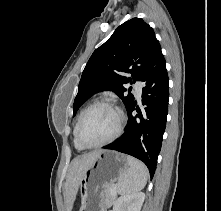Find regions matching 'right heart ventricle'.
I'll return each mask as SVG.
<instances>
[{
	"label": "right heart ventricle",
	"mask_w": 221,
	"mask_h": 211,
	"mask_svg": "<svg viewBox=\"0 0 221 211\" xmlns=\"http://www.w3.org/2000/svg\"><path fill=\"white\" fill-rule=\"evenodd\" d=\"M83 110L80 111V113L78 114L77 116V119L75 121V125H74V130H73V141H74V145L75 147L78 149V150H83L85 149L77 140V126H78V121H79V118L82 114Z\"/></svg>",
	"instance_id": "right-heart-ventricle-1"
}]
</instances>
